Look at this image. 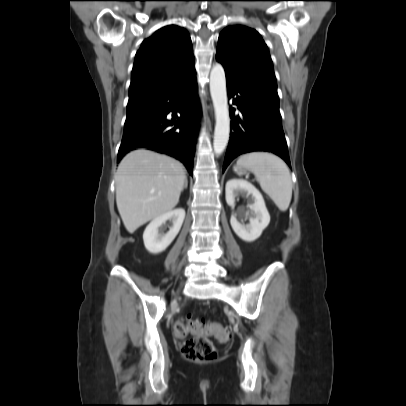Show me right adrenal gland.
<instances>
[{
  "label": "right adrenal gland",
  "instance_id": "obj_1",
  "mask_svg": "<svg viewBox=\"0 0 406 406\" xmlns=\"http://www.w3.org/2000/svg\"><path fill=\"white\" fill-rule=\"evenodd\" d=\"M187 187H188V180H187V178H185L183 189H186Z\"/></svg>",
  "mask_w": 406,
  "mask_h": 406
}]
</instances>
